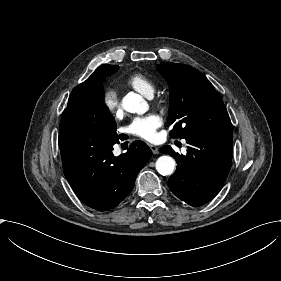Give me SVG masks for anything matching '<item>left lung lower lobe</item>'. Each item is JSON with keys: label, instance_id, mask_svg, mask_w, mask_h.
<instances>
[{"label": "left lung lower lobe", "instance_id": "1", "mask_svg": "<svg viewBox=\"0 0 281 281\" xmlns=\"http://www.w3.org/2000/svg\"><path fill=\"white\" fill-rule=\"evenodd\" d=\"M190 145L186 156L170 146L160 152L170 154L178 163L169 178L172 193L191 206L209 202L223 187L232 163V133H216L186 137Z\"/></svg>", "mask_w": 281, "mask_h": 281}]
</instances>
